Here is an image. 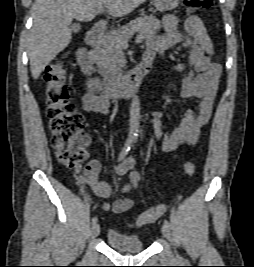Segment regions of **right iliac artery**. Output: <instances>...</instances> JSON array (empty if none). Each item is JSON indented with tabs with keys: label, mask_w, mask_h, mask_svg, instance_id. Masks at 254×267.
Instances as JSON below:
<instances>
[{
	"label": "right iliac artery",
	"mask_w": 254,
	"mask_h": 267,
	"mask_svg": "<svg viewBox=\"0 0 254 267\" xmlns=\"http://www.w3.org/2000/svg\"><path fill=\"white\" fill-rule=\"evenodd\" d=\"M130 148H131V141H127L125 143V145H124L119 157H118V161H121V160H123L125 158V156L128 154V151L130 150ZM97 220H98L97 217H94L92 219V222H91L92 225L96 224Z\"/></svg>",
	"instance_id": "82829eb1"
}]
</instances>
